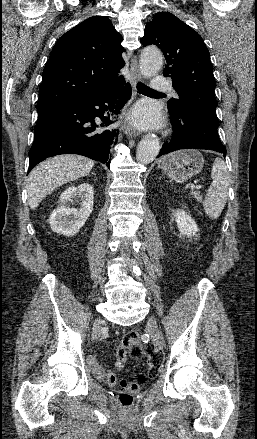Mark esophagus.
Segmentation results:
<instances>
[{"mask_svg":"<svg viewBox=\"0 0 257 439\" xmlns=\"http://www.w3.org/2000/svg\"><path fill=\"white\" fill-rule=\"evenodd\" d=\"M130 83L132 85V88L134 90L133 96L136 94V82L140 80V71L138 66V61L136 56H133L130 63ZM124 130L129 136H136L138 134L136 128L132 125V123L129 121L128 118H126L124 123Z\"/></svg>","mask_w":257,"mask_h":439,"instance_id":"1","label":"esophagus"}]
</instances>
